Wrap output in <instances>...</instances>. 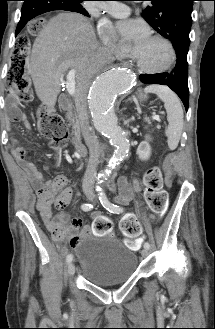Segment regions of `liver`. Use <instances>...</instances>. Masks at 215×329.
I'll use <instances>...</instances> for the list:
<instances>
[{"label":"liver","instance_id":"obj_1","mask_svg":"<svg viewBox=\"0 0 215 329\" xmlns=\"http://www.w3.org/2000/svg\"><path fill=\"white\" fill-rule=\"evenodd\" d=\"M100 47L90 21L77 13H60L39 33L27 60L38 98L53 108L61 89V77L76 71V93L89 87L103 63L97 60Z\"/></svg>","mask_w":215,"mask_h":329}]
</instances>
